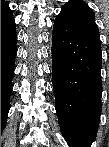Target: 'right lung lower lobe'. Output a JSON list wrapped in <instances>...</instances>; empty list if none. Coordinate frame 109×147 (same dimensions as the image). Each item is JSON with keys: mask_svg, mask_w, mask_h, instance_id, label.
I'll return each instance as SVG.
<instances>
[{"mask_svg": "<svg viewBox=\"0 0 109 147\" xmlns=\"http://www.w3.org/2000/svg\"><path fill=\"white\" fill-rule=\"evenodd\" d=\"M16 27L12 17L1 22V131L4 128L9 111V99L12 91L11 78L14 72L16 56Z\"/></svg>", "mask_w": 109, "mask_h": 147, "instance_id": "98d812e1", "label": "right lung lower lobe"}]
</instances>
